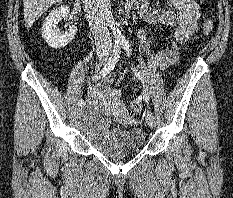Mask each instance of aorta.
I'll use <instances>...</instances> for the list:
<instances>
[{
	"mask_svg": "<svg viewBox=\"0 0 233 198\" xmlns=\"http://www.w3.org/2000/svg\"><path fill=\"white\" fill-rule=\"evenodd\" d=\"M102 3V13L103 16L112 30L113 37L116 41H121L124 39V36L121 34L120 30L117 28L115 21L112 16L110 0H101Z\"/></svg>",
	"mask_w": 233,
	"mask_h": 198,
	"instance_id": "762f6f07",
	"label": "aorta"
}]
</instances>
